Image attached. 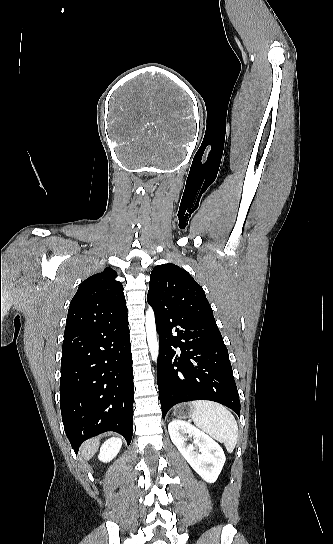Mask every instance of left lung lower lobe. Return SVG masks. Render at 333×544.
<instances>
[{
	"label": "left lung lower lobe",
	"instance_id": "1",
	"mask_svg": "<svg viewBox=\"0 0 333 544\" xmlns=\"http://www.w3.org/2000/svg\"><path fill=\"white\" fill-rule=\"evenodd\" d=\"M159 333L157 383L163 418L175 404L211 400L240 417L228 350L217 326L153 307Z\"/></svg>",
	"mask_w": 333,
	"mask_h": 544
}]
</instances>
